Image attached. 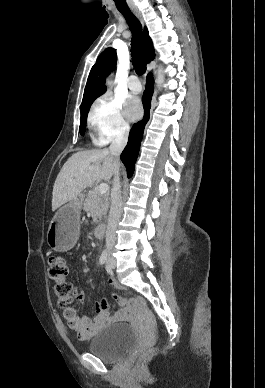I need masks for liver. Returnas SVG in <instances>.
I'll return each instance as SVG.
<instances>
[{
    "instance_id": "1",
    "label": "liver",
    "mask_w": 265,
    "mask_h": 388,
    "mask_svg": "<svg viewBox=\"0 0 265 388\" xmlns=\"http://www.w3.org/2000/svg\"><path fill=\"white\" fill-rule=\"evenodd\" d=\"M120 168L118 158L111 156L109 150H85L73 154L60 170L52 194V212L74 200L82 190L92 186L96 180H110L113 164ZM93 166L94 170H89Z\"/></svg>"
}]
</instances>
